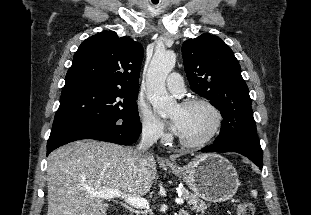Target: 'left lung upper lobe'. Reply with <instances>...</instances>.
<instances>
[{
  "mask_svg": "<svg viewBox=\"0 0 311 215\" xmlns=\"http://www.w3.org/2000/svg\"><path fill=\"white\" fill-rule=\"evenodd\" d=\"M182 55L192 91L208 99L223 117L214 142L257 137L249 90L231 48L219 37L204 33L185 41Z\"/></svg>",
  "mask_w": 311,
  "mask_h": 215,
  "instance_id": "left-lung-upper-lobe-1",
  "label": "left lung upper lobe"
}]
</instances>
